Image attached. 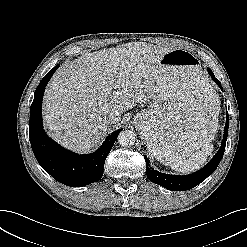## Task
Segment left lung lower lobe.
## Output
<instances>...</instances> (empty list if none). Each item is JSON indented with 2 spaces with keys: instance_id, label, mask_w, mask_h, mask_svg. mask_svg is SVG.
<instances>
[{
  "instance_id": "obj_1",
  "label": "left lung lower lobe",
  "mask_w": 247,
  "mask_h": 247,
  "mask_svg": "<svg viewBox=\"0 0 247 247\" xmlns=\"http://www.w3.org/2000/svg\"><path fill=\"white\" fill-rule=\"evenodd\" d=\"M208 72L212 77V79L214 80V82H216L217 85L222 89L221 83L215 78L211 69H208ZM228 124H229V117L227 113L224 136L221 147L219 151L216 153V155L213 157V159L203 169L193 174L184 175V176L164 174L151 168V166L149 165V159L146 156H144L147 163L146 166L147 178L150 181L162 187L174 191H185L197 186L198 184L203 182L209 175H211L219 165L225 151L226 140L228 135Z\"/></svg>"
}]
</instances>
